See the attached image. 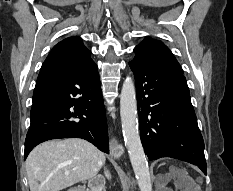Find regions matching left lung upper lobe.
Masks as SVG:
<instances>
[{"instance_id": "1", "label": "left lung upper lobe", "mask_w": 233, "mask_h": 191, "mask_svg": "<svg viewBox=\"0 0 233 191\" xmlns=\"http://www.w3.org/2000/svg\"><path fill=\"white\" fill-rule=\"evenodd\" d=\"M134 52V59L161 64L182 73L180 64L161 41L146 38L135 47Z\"/></svg>"}]
</instances>
